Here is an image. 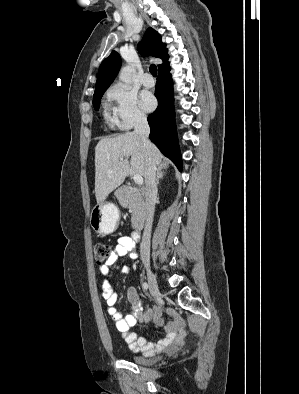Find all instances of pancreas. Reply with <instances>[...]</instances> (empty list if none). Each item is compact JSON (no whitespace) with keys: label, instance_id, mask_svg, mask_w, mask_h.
<instances>
[{"label":"pancreas","instance_id":"obj_1","mask_svg":"<svg viewBox=\"0 0 299 394\" xmlns=\"http://www.w3.org/2000/svg\"><path fill=\"white\" fill-rule=\"evenodd\" d=\"M117 194L124 197L123 205L128 207L132 213V227L134 229L140 228L146 211L145 202L140 192L134 187L123 186Z\"/></svg>","mask_w":299,"mask_h":394}]
</instances>
